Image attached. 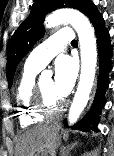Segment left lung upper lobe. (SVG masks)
<instances>
[{"instance_id": "5c2ea615", "label": "left lung upper lobe", "mask_w": 114, "mask_h": 156, "mask_svg": "<svg viewBox=\"0 0 114 156\" xmlns=\"http://www.w3.org/2000/svg\"><path fill=\"white\" fill-rule=\"evenodd\" d=\"M92 5L89 0H34L30 15L14 32L8 44L6 72L9 87L18 63L44 34L43 21L47 12L69 7L87 15Z\"/></svg>"}]
</instances>
